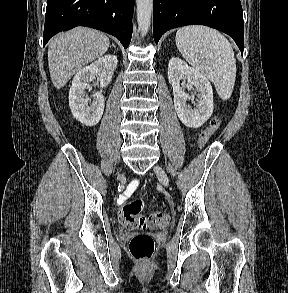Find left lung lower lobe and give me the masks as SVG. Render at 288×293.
Returning <instances> with one entry per match:
<instances>
[{
  "label": "left lung lower lobe",
  "instance_id": "1",
  "mask_svg": "<svg viewBox=\"0 0 288 293\" xmlns=\"http://www.w3.org/2000/svg\"><path fill=\"white\" fill-rule=\"evenodd\" d=\"M194 24L228 34L243 54L244 25L240 0H153L155 43L170 29Z\"/></svg>",
  "mask_w": 288,
  "mask_h": 293
}]
</instances>
